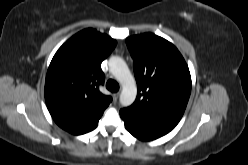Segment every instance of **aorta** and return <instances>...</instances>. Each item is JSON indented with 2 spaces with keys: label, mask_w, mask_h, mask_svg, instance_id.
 Segmentation results:
<instances>
[{
  "label": "aorta",
  "mask_w": 248,
  "mask_h": 165,
  "mask_svg": "<svg viewBox=\"0 0 248 165\" xmlns=\"http://www.w3.org/2000/svg\"><path fill=\"white\" fill-rule=\"evenodd\" d=\"M109 69L122 85L120 104L124 107L130 106L136 99L137 87L128 65L121 57L112 56L109 61Z\"/></svg>",
  "instance_id": "1"
}]
</instances>
